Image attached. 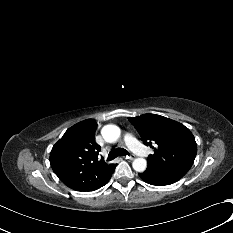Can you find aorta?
Returning <instances> with one entry per match:
<instances>
[{
	"label": "aorta",
	"instance_id": "762f6f07",
	"mask_svg": "<svg viewBox=\"0 0 233 233\" xmlns=\"http://www.w3.org/2000/svg\"><path fill=\"white\" fill-rule=\"evenodd\" d=\"M101 134L106 142L114 143L119 139L121 130L118 126L109 124L102 128ZM132 167L137 172H144L147 168V161L144 158H136Z\"/></svg>",
	"mask_w": 233,
	"mask_h": 233
}]
</instances>
